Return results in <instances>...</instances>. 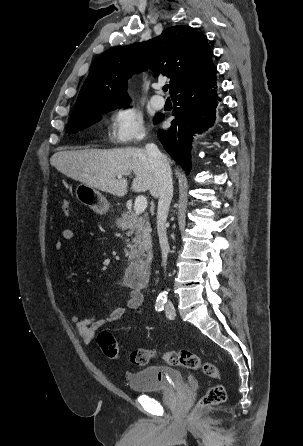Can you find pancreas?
<instances>
[{
	"label": "pancreas",
	"instance_id": "obj_1",
	"mask_svg": "<svg viewBox=\"0 0 303 446\" xmlns=\"http://www.w3.org/2000/svg\"><path fill=\"white\" fill-rule=\"evenodd\" d=\"M117 227L122 230H128L127 235L134 237L127 244L125 254L129 259L145 256V252L152 249L151 227L148 216H138L131 211L124 212L116 221Z\"/></svg>",
	"mask_w": 303,
	"mask_h": 446
}]
</instances>
